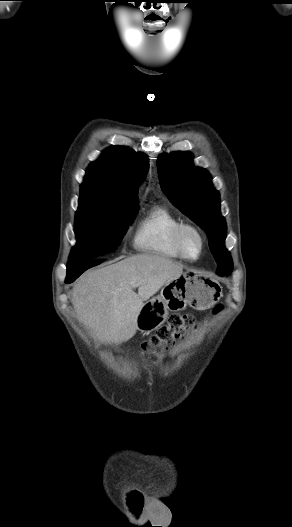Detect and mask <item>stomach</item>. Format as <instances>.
Returning a JSON list of instances; mask_svg holds the SVG:
<instances>
[{
	"instance_id": "0dacf381",
	"label": "stomach",
	"mask_w": 292,
	"mask_h": 527,
	"mask_svg": "<svg viewBox=\"0 0 292 527\" xmlns=\"http://www.w3.org/2000/svg\"><path fill=\"white\" fill-rule=\"evenodd\" d=\"M221 296L222 287L217 280L198 272H186L166 283L160 295L144 303L137 317V329L149 333L166 321L169 310L181 311L188 305L205 310Z\"/></svg>"
}]
</instances>
